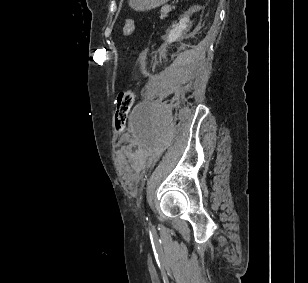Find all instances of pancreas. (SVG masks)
Returning <instances> with one entry per match:
<instances>
[{
	"label": "pancreas",
	"mask_w": 308,
	"mask_h": 283,
	"mask_svg": "<svg viewBox=\"0 0 308 283\" xmlns=\"http://www.w3.org/2000/svg\"><path fill=\"white\" fill-rule=\"evenodd\" d=\"M170 12V8L169 7H165L161 10V19H165L168 16V13Z\"/></svg>",
	"instance_id": "pancreas-1"
}]
</instances>
